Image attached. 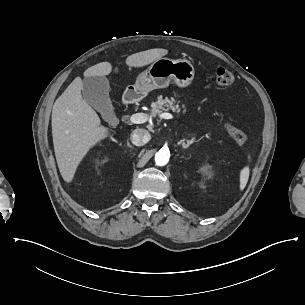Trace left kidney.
<instances>
[{"instance_id":"obj_1","label":"left kidney","mask_w":305,"mask_h":305,"mask_svg":"<svg viewBox=\"0 0 305 305\" xmlns=\"http://www.w3.org/2000/svg\"><path fill=\"white\" fill-rule=\"evenodd\" d=\"M206 170V168L204 167V168H202V171H205Z\"/></svg>"}]
</instances>
